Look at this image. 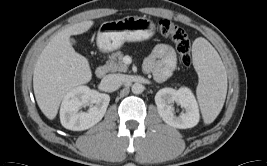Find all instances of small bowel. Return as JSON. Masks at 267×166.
<instances>
[{
  "label": "small bowel",
  "mask_w": 267,
  "mask_h": 166,
  "mask_svg": "<svg viewBox=\"0 0 267 166\" xmlns=\"http://www.w3.org/2000/svg\"><path fill=\"white\" fill-rule=\"evenodd\" d=\"M176 63L177 56L174 49L168 44H158L145 59L143 69L147 73H152L157 81L162 82L172 74Z\"/></svg>",
  "instance_id": "1"
}]
</instances>
